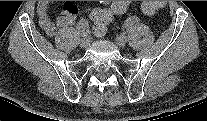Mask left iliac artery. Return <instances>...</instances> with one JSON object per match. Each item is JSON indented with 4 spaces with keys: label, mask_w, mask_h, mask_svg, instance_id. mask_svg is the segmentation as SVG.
<instances>
[{
    "label": "left iliac artery",
    "mask_w": 207,
    "mask_h": 121,
    "mask_svg": "<svg viewBox=\"0 0 207 121\" xmlns=\"http://www.w3.org/2000/svg\"><path fill=\"white\" fill-rule=\"evenodd\" d=\"M136 16L135 15H130L127 19L124 20V26L125 27H130L135 21H136Z\"/></svg>",
    "instance_id": "44dca946"
}]
</instances>
